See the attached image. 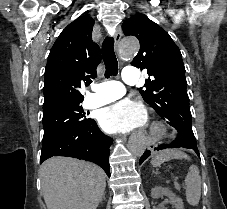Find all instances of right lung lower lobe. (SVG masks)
<instances>
[{
    "label": "right lung lower lobe",
    "mask_w": 227,
    "mask_h": 209,
    "mask_svg": "<svg viewBox=\"0 0 227 209\" xmlns=\"http://www.w3.org/2000/svg\"><path fill=\"white\" fill-rule=\"evenodd\" d=\"M112 139L100 131L93 119L43 139L40 163L53 156H66L98 164L110 177L109 147Z\"/></svg>",
    "instance_id": "98d812e1"
}]
</instances>
